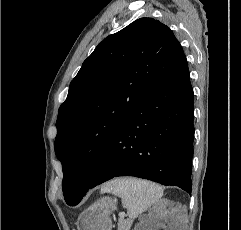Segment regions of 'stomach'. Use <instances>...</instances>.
Returning a JSON list of instances; mask_svg holds the SVG:
<instances>
[{
	"instance_id": "0dacf381",
	"label": "stomach",
	"mask_w": 241,
	"mask_h": 230,
	"mask_svg": "<svg viewBox=\"0 0 241 230\" xmlns=\"http://www.w3.org/2000/svg\"><path fill=\"white\" fill-rule=\"evenodd\" d=\"M117 209V200L104 197L86 210L78 217V230H111V213Z\"/></svg>"
}]
</instances>
